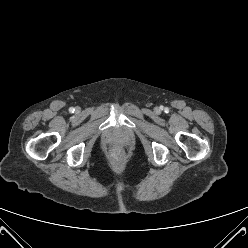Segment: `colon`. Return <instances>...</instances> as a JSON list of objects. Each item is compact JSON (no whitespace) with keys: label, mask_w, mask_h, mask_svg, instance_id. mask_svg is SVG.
<instances>
[{"label":"colon","mask_w":248,"mask_h":248,"mask_svg":"<svg viewBox=\"0 0 248 248\" xmlns=\"http://www.w3.org/2000/svg\"><path fill=\"white\" fill-rule=\"evenodd\" d=\"M112 156H113V159L115 161H120L123 157L122 155V152L120 150H115L113 153H112Z\"/></svg>","instance_id":"obj_1"}]
</instances>
